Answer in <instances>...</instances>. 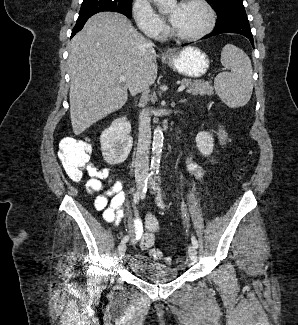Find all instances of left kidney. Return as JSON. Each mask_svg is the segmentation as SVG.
I'll return each instance as SVG.
<instances>
[{"label": "left kidney", "mask_w": 298, "mask_h": 325, "mask_svg": "<svg viewBox=\"0 0 298 325\" xmlns=\"http://www.w3.org/2000/svg\"><path fill=\"white\" fill-rule=\"evenodd\" d=\"M196 146L198 150H200L201 154H205V156L211 154L214 148V138L212 134L207 132V130H201V132H198V134H196Z\"/></svg>", "instance_id": "left-kidney-1"}]
</instances>
